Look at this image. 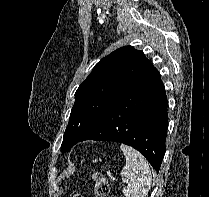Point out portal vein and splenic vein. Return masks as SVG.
<instances>
[{
  "label": "portal vein and splenic vein",
  "instance_id": "obj_1",
  "mask_svg": "<svg viewBox=\"0 0 209 197\" xmlns=\"http://www.w3.org/2000/svg\"><path fill=\"white\" fill-rule=\"evenodd\" d=\"M122 181H123V182H125V181H126V179H125V178H122Z\"/></svg>",
  "mask_w": 209,
  "mask_h": 197
}]
</instances>
